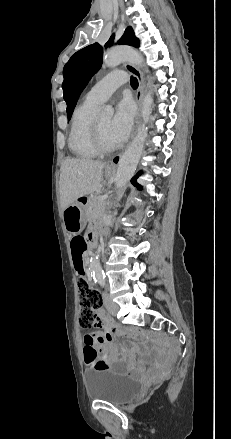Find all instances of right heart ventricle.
Wrapping results in <instances>:
<instances>
[{
  "label": "right heart ventricle",
  "instance_id": "e07e8e85",
  "mask_svg": "<svg viewBox=\"0 0 231 439\" xmlns=\"http://www.w3.org/2000/svg\"><path fill=\"white\" fill-rule=\"evenodd\" d=\"M98 105L85 99L73 112L68 147L71 153L79 159H92L98 155L91 136L94 112Z\"/></svg>",
  "mask_w": 231,
  "mask_h": 439
}]
</instances>
